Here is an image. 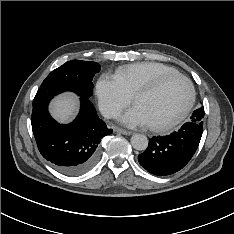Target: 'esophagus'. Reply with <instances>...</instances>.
I'll use <instances>...</instances> for the list:
<instances>
[{
  "mask_svg": "<svg viewBox=\"0 0 234 234\" xmlns=\"http://www.w3.org/2000/svg\"><path fill=\"white\" fill-rule=\"evenodd\" d=\"M114 130L120 134H123V135H131L132 134L131 131H128V130H125V129L119 128V127H116Z\"/></svg>",
  "mask_w": 234,
  "mask_h": 234,
  "instance_id": "esophagus-1",
  "label": "esophagus"
}]
</instances>
